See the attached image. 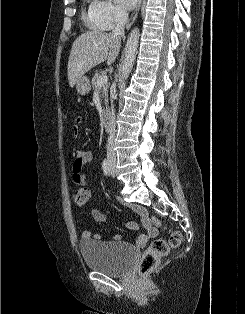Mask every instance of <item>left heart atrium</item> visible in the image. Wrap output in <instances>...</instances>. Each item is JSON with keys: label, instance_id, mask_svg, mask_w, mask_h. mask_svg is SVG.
Instances as JSON below:
<instances>
[{"label": "left heart atrium", "instance_id": "39dd6f15", "mask_svg": "<svg viewBox=\"0 0 245 314\" xmlns=\"http://www.w3.org/2000/svg\"><path fill=\"white\" fill-rule=\"evenodd\" d=\"M138 0H116L117 4L126 10L132 9Z\"/></svg>", "mask_w": 245, "mask_h": 314}]
</instances>
